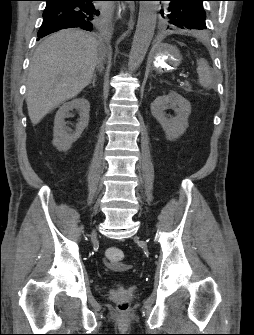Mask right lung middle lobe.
I'll use <instances>...</instances> for the list:
<instances>
[{
	"label": "right lung middle lobe",
	"mask_w": 254,
	"mask_h": 335,
	"mask_svg": "<svg viewBox=\"0 0 254 335\" xmlns=\"http://www.w3.org/2000/svg\"><path fill=\"white\" fill-rule=\"evenodd\" d=\"M103 15V11H96L95 15H94V22L96 23L100 17Z\"/></svg>",
	"instance_id": "dd1d6c3e"
}]
</instances>
